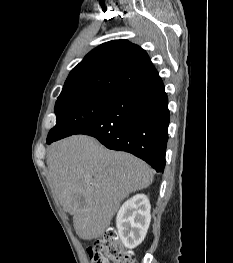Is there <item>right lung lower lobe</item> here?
<instances>
[{
  "mask_svg": "<svg viewBox=\"0 0 233 263\" xmlns=\"http://www.w3.org/2000/svg\"><path fill=\"white\" fill-rule=\"evenodd\" d=\"M169 117L168 97L157 75L118 93L102 115L75 134L93 136L107 148L132 153L163 172Z\"/></svg>",
  "mask_w": 233,
  "mask_h": 263,
  "instance_id": "1",
  "label": "right lung lower lobe"
}]
</instances>
